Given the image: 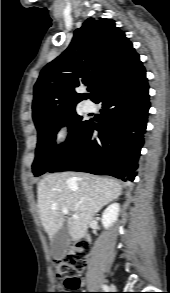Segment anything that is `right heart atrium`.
<instances>
[{"label":"right heart atrium","mask_w":170,"mask_h":293,"mask_svg":"<svg viewBox=\"0 0 170 293\" xmlns=\"http://www.w3.org/2000/svg\"><path fill=\"white\" fill-rule=\"evenodd\" d=\"M66 138V128L63 125L58 126L54 134V142L57 146H61Z\"/></svg>","instance_id":"d8ad5b80"}]
</instances>
